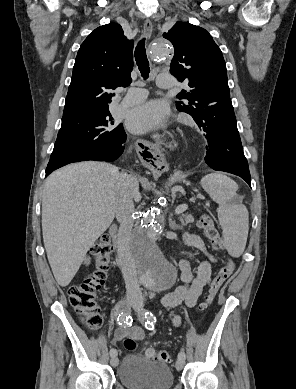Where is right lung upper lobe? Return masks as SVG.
<instances>
[{
	"label": "right lung upper lobe",
	"instance_id": "right-lung-upper-lobe-1",
	"mask_svg": "<svg viewBox=\"0 0 296 389\" xmlns=\"http://www.w3.org/2000/svg\"><path fill=\"white\" fill-rule=\"evenodd\" d=\"M133 44L117 23L88 35L75 60L63 117L109 110L113 90L132 81Z\"/></svg>",
	"mask_w": 296,
	"mask_h": 389
}]
</instances>
